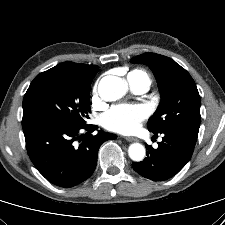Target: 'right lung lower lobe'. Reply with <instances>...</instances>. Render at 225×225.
I'll return each instance as SVG.
<instances>
[{
    "instance_id": "right-lung-lower-lobe-1",
    "label": "right lung lower lobe",
    "mask_w": 225,
    "mask_h": 225,
    "mask_svg": "<svg viewBox=\"0 0 225 225\" xmlns=\"http://www.w3.org/2000/svg\"><path fill=\"white\" fill-rule=\"evenodd\" d=\"M28 155L36 169L52 184L70 188L87 180L95 170L100 145L115 134L99 131L95 125L81 127L46 116L22 119ZM86 130V135L80 131ZM82 143L76 147L75 141Z\"/></svg>"
}]
</instances>
